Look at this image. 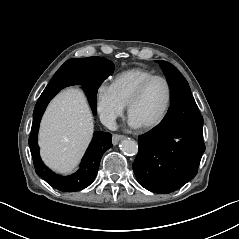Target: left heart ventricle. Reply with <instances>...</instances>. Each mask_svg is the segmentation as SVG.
Returning a JSON list of instances; mask_svg holds the SVG:
<instances>
[{
  "label": "left heart ventricle",
  "instance_id": "1",
  "mask_svg": "<svg viewBox=\"0 0 239 239\" xmlns=\"http://www.w3.org/2000/svg\"><path fill=\"white\" fill-rule=\"evenodd\" d=\"M167 102V87L162 80L152 82L134 106L131 116L140 125L151 123L163 113Z\"/></svg>",
  "mask_w": 239,
  "mask_h": 239
}]
</instances>
